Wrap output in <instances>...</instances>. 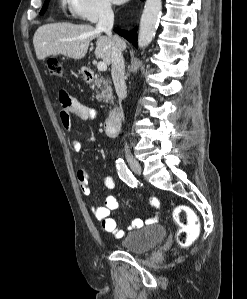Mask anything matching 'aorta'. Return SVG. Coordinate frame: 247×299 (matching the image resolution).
I'll list each match as a JSON object with an SVG mask.
<instances>
[{
  "label": "aorta",
  "instance_id": "1",
  "mask_svg": "<svg viewBox=\"0 0 247 299\" xmlns=\"http://www.w3.org/2000/svg\"><path fill=\"white\" fill-rule=\"evenodd\" d=\"M162 1L147 0L140 20L138 45L140 48L147 47L155 37L161 16Z\"/></svg>",
  "mask_w": 247,
  "mask_h": 299
}]
</instances>
